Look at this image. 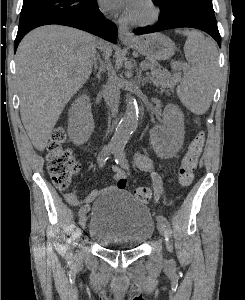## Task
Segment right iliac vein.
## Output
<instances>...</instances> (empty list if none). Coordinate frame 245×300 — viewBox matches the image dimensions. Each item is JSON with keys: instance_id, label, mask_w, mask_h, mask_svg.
<instances>
[{"instance_id": "1", "label": "right iliac vein", "mask_w": 245, "mask_h": 300, "mask_svg": "<svg viewBox=\"0 0 245 300\" xmlns=\"http://www.w3.org/2000/svg\"><path fill=\"white\" fill-rule=\"evenodd\" d=\"M86 221H87V215H86V214H83V215L80 217L79 225H80L81 227H84L85 224H86ZM78 236H79V237L82 236V231H81V229H79V231H78Z\"/></svg>"}]
</instances>
